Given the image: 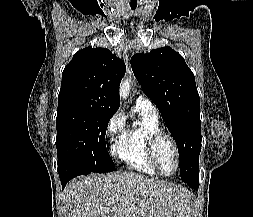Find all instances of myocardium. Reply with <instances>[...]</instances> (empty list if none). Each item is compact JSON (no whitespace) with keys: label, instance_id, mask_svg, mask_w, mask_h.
Returning <instances> with one entry per match:
<instances>
[{"label":"myocardium","instance_id":"obj_1","mask_svg":"<svg viewBox=\"0 0 253 217\" xmlns=\"http://www.w3.org/2000/svg\"><path fill=\"white\" fill-rule=\"evenodd\" d=\"M162 140H168L169 143L171 144V146L173 147L174 153H175V158H176V168L175 171L171 174H166L165 172H163L160 163L158 161V157H157V146L158 144L162 141ZM146 149H147V154L148 157L151 161V163L154 165V167L156 168V170L158 171V173L164 177H170L175 175L179 168H180V164H181V158H180V151L177 145L176 140L173 138V136H171L170 134L163 132V131H158L154 134H152L148 140H147V144H146Z\"/></svg>","mask_w":253,"mask_h":217}]
</instances>
